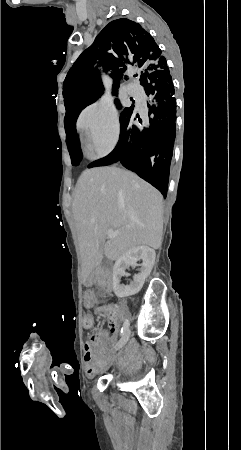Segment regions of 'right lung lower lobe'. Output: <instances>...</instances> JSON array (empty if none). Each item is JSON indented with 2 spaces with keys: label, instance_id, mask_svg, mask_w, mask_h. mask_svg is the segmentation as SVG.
Segmentation results:
<instances>
[{
  "label": "right lung lower lobe",
  "instance_id": "obj_1",
  "mask_svg": "<svg viewBox=\"0 0 241 450\" xmlns=\"http://www.w3.org/2000/svg\"><path fill=\"white\" fill-rule=\"evenodd\" d=\"M140 81L145 93L150 96L147 103L149 123L137 126L133 124L134 115L127 117L121 122L120 139L115 149L88 167L120 162L166 197L176 135L175 90L167 64L149 68L140 76ZM78 115L65 116L64 125L69 149L81 153L75 129Z\"/></svg>",
  "mask_w": 241,
  "mask_h": 450
}]
</instances>
